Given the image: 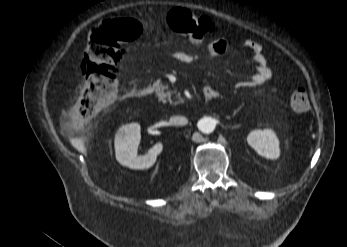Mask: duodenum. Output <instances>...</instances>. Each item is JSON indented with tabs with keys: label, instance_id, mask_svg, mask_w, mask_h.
I'll use <instances>...</instances> for the list:
<instances>
[{
	"label": "duodenum",
	"instance_id": "duodenum-1",
	"mask_svg": "<svg viewBox=\"0 0 347 247\" xmlns=\"http://www.w3.org/2000/svg\"><path fill=\"white\" fill-rule=\"evenodd\" d=\"M150 89L148 87H142V88H132L130 91H128V96L130 97H146L150 94ZM217 95L216 91L210 87H207L203 91V98L205 101L212 100Z\"/></svg>",
	"mask_w": 347,
	"mask_h": 247
}]
</instances>
